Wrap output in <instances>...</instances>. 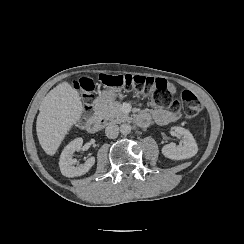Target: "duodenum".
<instances>
[{
    "label": "duodenum",
    "mask_w": 244,
    "mask_h": 244,
    "mask_svg": "<svg viewBox=\"0 0 244 244\" xmlns=\"http://www.w3.org/2000/svg\"><path fill=\"white\" fill-rule=\"evenodd\" d=\"M106 105V97L102 96L99 97L93 105V109L95 111V115L93 117H90L87 122H86V129L88 132L90 133H95L97 132L100 127L102 126V124L104 123L105 117L103 114L104 108ZM138 121L141 124H145L148 119L145 118L144 116H139L138 117Z\"/></svg>",
    "instance_id": "obj_1"
}]
</instances>
